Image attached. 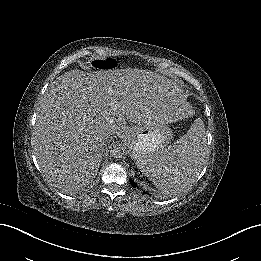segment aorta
Listing matches in <instances>:
<instances>
[{"label": "aorta", "instance_id": "obj_1", "mask_svg": "<svg viewBox=\"0 0 261 261\" xmlns=\"http://www.w3.org/2000/svg\"><path fill=\"white\" fill-rule=\"evenodd\" d=\"M124 147L122 144L115 145L113 150H111V154L114 158H122L124 156Z\"/></svg>", "mask_w": 261, "mask_h": 261}]
</instances>
